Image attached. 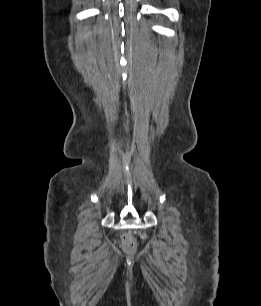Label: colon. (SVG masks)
I'll use <instances>...</instances> for the list:
<instances>
[{"instance_id": "obj_1", "label": "colon", "mask_w": 261, "mask_h": 306, "mask_svg": "<svg viewBox=\"0 0 261 306\" xmlns=\"http://www.w3.org/2000/svg\"><path fill=\"white\" fill-rule=\"evenodd\" d=\"M122 244L126 250H133L136 247V241L131 235H124L122 237Z\"/></svg>"}]
</instances>
